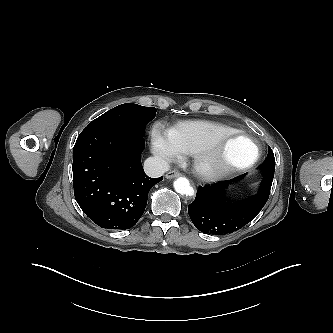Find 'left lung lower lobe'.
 Listing matches in <instances>:
<instances>
[{
    "label": "left lung lower lobe",
    "mask_w": 333,
    "mask_h": 333,
    "mask_svg": "<svg viewBox=\"0 0 333 333\" xmlns=\"http://www.w3.org/2000/svg\"><path fill=\"white\" fill-rule=\"evenodd\" d=\"M260 169L264 173L260 192L242 202L228 200L225 189L243 176L199 187L195 200L188 206L195 227L203 233L219 235L239 230L253 220L269 198L275 171V168L265 170L262 166Z\"/></svg>",
    "instance_id": "obj_1"
}]
</instances>
